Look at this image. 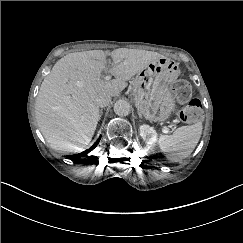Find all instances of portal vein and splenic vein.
I'll return each mask as SVG.
<instances>
[{
    "mask_svg": "<svg viewBox=\"0 0 243 243\" xmlns=\"http://www.w3.org/2000/svg\"><path fill=\"white\" fill-rule=\"evenodd\" d=\"M106 79L109 80V79H110V76H107ZM163 132H164L165 134H168V135H171V134H172V131L169 130V129H167V128H164V129H163Z\"/></svg>",
    "mask_w": 243,
    "mask_h": 243,
    "instance_id": "1",
    "label": "portal vein and splenic vein"
}]
</instances>
